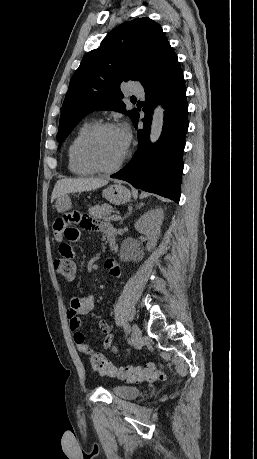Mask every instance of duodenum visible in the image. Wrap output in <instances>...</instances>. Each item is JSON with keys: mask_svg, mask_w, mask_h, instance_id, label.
<instances>
[{"mask_svg": "<svg viewBox=\"0 0 257 459\" xmlns=\"http://www.w3.org/2000/svg\"><path fill=\"white\" fill-rule=\"evenodd\" d=\"M105 235H106L110 245L112 247H114L115 243H116V240H117L116 233L114 231H112V230H108V231H106Z\"/></svg>", "mask_w": 257, "mask_h": 459, "instance_id": "410a0bca", "label": "duodenum"}]
</instances>
